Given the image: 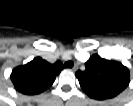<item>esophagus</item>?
<instances>
[{
	"label": "esophagus",
	"instance_id": "obj_1",
	"mask_svg": "<svg viewBox=\"0 0 133 106\" xmlns=\"http://www.w3.org/2000/svg\"><path fill=\"white\" fill-rule=\"evenodd\" d=\"M78 69V66L75 64L73 67H72V70L73 71H76Z\"/></svg>",
	"mask_w": 133,
	"mask_h": 106
}]
</instances>
